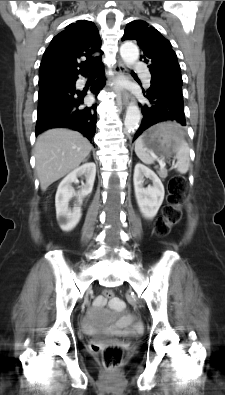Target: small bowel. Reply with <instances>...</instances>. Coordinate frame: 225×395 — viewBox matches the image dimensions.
I'll return each mask as SVG.
<instances>
[{
  "instance_id": "small-bowel-1",
  "label": "small bowel",
  "mask_w": 225,
  "mask_h": 395,
  "mask_svg": "<svg viewBox=\"0 0 225 395\" xmlns=\"http://www.w3.org/2000/svg\"><path fill=\"white\" fill-rule=\"evenodd\" d=\"M106 296H99L94 301V314L97 316H102L105 323H110L111 314L108 312H104L103 308L106 304ZM110 304H107V311H116L118 315H122L117 318L113 323L107 324V330L114 334H127L132 330L138 329L139 325L134 322L132 316L125 314L126 313V302L123 300L122 296H111ZM85 328L87 331L92 332L94 330V326L87 322L85 324Z\"/></svg>"
}]
</instances>
